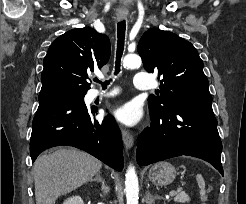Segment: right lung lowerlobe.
Instances as JSON below:
<instances>
[{
    "mask_svg": "<svg viewBox=\"0 0 246 204\" xmlns=\"http://www.w3.org/2000/svg\"><path fill=\"white\" fill-rule=\"evenodd\" d=\"M96 108H87L84 95L60 94L39 99L32 123V162L45 149L66 145L82 149L108 166L123 169L121 133L111 116L93 119Z\"/></svg>",
    "mask_w": 246,
    "mask_h": 204,
    "instance_id": "98d812e1",
    "label": "right lung lower lobe"
}]
</instances>
